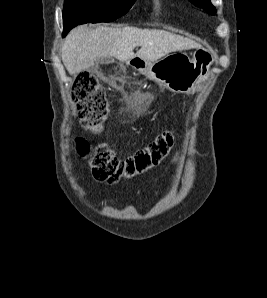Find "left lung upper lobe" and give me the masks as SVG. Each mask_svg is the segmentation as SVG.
Instances as JSON below:
<instances>
[{"instance_id":"5c2ea615","label":"left lung upper lobe","mask_w":267,"mask_h":298,"mask_svg":"<svg viewBox=\"0 0 267 298\" xmlns=\"http://www.w3.org/2000/svg\"><path fill=\"white\" fill-rule=\"evenodd\" d=\"M197 7L203 8L209 14L216 12L215 7L211 4L210 0H189Z\"/></svg>"}]
</instances>
